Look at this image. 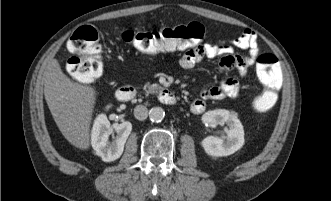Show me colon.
Segmentation results:
<instances>
[{"instance_id": "colon-1", "label": "colon", "mask_w": 331, "mask_h": 201, "mask_svg": "<svg viewBox=\"0 0 331 201\" xmlns=\"http://www.w3.org/2000/svg\"><path fill=\"white\" fill-rule=\"evenodd\" d=\"M121 37L126 44L142 53L157 54L197 47L204 41L206 31L202 24L192 22L159 31L125 30ZM68 49L76 54L67 63V70L75 80L89 83L101 76L104 66L95 28H78L69 39ZM256 68L263 90L254 96L250 103L256 112L264 113L272 109L278 100L283 67L276 55L265 52L257 56Z\"/></svg>"}]
</instances>
